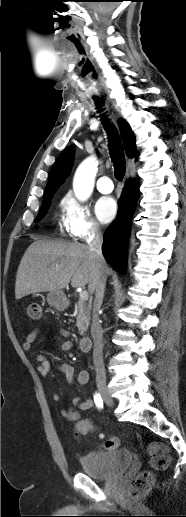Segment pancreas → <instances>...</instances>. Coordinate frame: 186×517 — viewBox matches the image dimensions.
<instances>
[{
	"label": "pancreas",
	"mask_w": 186,
	"mask_h": 517,
	"mask_svg": "<svg viewBox=\"0 0 186 517\" xmlns=\"http://www.w3.org/2000/svg\"><path fill=\"white\" fill-rule=\"evenodd\" d=\"M76 326L78 327L80 335H84L90 324L91 305L83 301H78L75 305Z\"/></svg>",
	"instance_id": "1"
}]
</instances>
